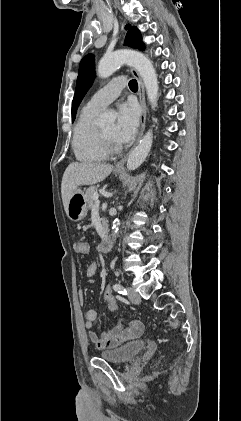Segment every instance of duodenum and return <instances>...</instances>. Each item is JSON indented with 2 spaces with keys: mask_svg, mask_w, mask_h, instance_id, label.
<instances>
[{
  "mask_svg": "<svg viewBox=\"0 0 241 421\" xmlns=\"http://www.w3.org/2000/svg\"><path fill=\"white\" fill-rule=\"evenodd\" d=\"M110 248H111L110 239H109V237L107 235H105L101 239V242H100V245H99V249H100L101 252L107 253V252H109Z\"/></svg>",
  "mask_w": 241,
  "mask_h": 421,
  "instance_id": "duodenum-1",
  "label": "duodenum"
}]
</instances>
